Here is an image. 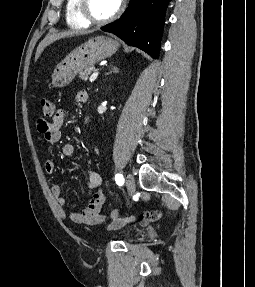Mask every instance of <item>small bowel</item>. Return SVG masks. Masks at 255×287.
<instances>
[{"label":"small bowel","instance_id":"c3829d8e","mask_svg":"<svg viewBox=\"0 0 255 287\" xmlns=\"http://www.w3.org/2000/svg\"><path fill=\"white\" fill-rule=\"evenodd\" d=\"M77 100L79 102H85L87 100L86 92H79L77 94ZM65 118V111L58 109L53 115L51 121L40 119L37 123L38 131L43 135L45 141L50 145H56L61 140V127ZM75 146L67 143L63 145L61 153L65 157H71L75 153ZM45 171L48 174H52L55 171V161L48 158L44 164ZM103 180L101 175L96 171H90L88 174L87 186L90 190H93V194L89 198L86 207L78 212H72L67 214L64 206L66 203L65 197L62 194V189L59 185H53L51 188V194L55 201L58 214L63 220L68 218L80 225L94 226L103 224L106 221V215L101 212L103 204L106 200V195L102 190ZM161 213L158 210L150 211L141 214L137 219L133 216L126 218L113 219L108 229H117L124 224L137 220L140 225L148 226L150 223L160 221Z\"/></svg>","mask_w":255,"mask_h":287}]
</instances>
